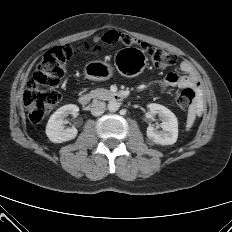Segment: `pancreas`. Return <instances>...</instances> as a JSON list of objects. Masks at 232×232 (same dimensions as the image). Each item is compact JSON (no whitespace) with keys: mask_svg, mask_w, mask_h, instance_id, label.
Listing matches in <instances>:
<instances>
[{"mask_svg":"<svg viewBox=\"0 0 232 232\" xmlns=\"http://www.w3.org/2000/svg\"><path fill=\"white\" fill-rule=\"evenodd\" d=\"M89 95L91 98H95V99H106L108 96L112 95V93L107 89L98 88L92 90Z\"/></svg>","mask_w":232,"mask_h":232,"instance_id":"1","label":"pancreas"}]
</instances>
